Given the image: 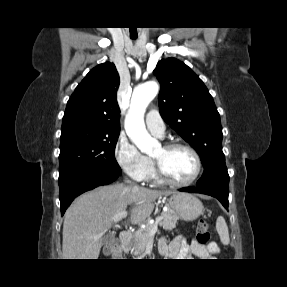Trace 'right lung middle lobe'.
Listing matches in <instances>:
<instances>
[{
    "label": "right lung middle lobe",
    "mask_w": 287,
    "mask_h": 287,
    "mask_svg": "<svg viewBox=\"0 0 287 287\" xmlns=\"http://www.w3.org/2000/svg\"><path fill=\"white\" fill-rule=\"evenodd\" d=\"M120 130L98 129L79 124L62 130L60 137L59 176L81 169L120 175L115 146Z\"/></svg>",
    "instance_id": "obj_1"
}]
</instances>
